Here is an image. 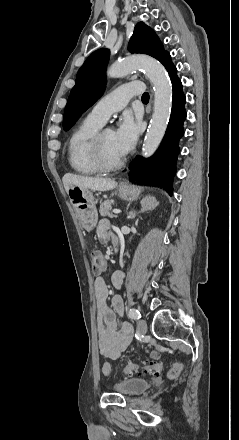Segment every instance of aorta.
<instances>
[{"mask_svg": "<svg viewBox=\"0 0 239 440\" xmlns=\"http://www.w3.org/2000/svg\"><path fill=\"white\" fill-rule=\"evenodd\" d=\"M137 68H143L144 74L151 84H154V110L142 148L144 158H150L166 132L172 106V86L166 78L164 66L149 56H130L123 62L113 64L107 70V76L108 78H124Z\"/></svg>", "mask_w": 239, "mask_h": 440, "instance_id": "aorta-1", "label": "aorta"}]
</instances>
